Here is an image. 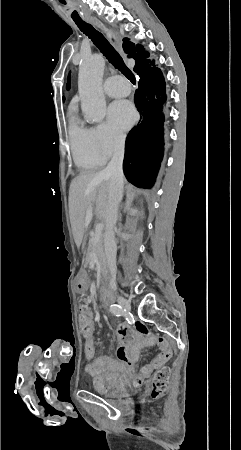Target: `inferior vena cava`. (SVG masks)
Wrapping results in <instances>:
<instances>
[{
  "label": "inferior vena cava",
  "instance_id": "inferior-vena-cava-1",
  "mask_svg": "<svg viewBox=\"0 0 241 450\" xmlns=\"http://www.w3.org/2000/svg\"><path fill=\"white\" fill-rule=\"evenodd\" d=\"M126 136H121L116 142L115 152L111 162L107 168L103 170L105 176L110 178L109 188V218L110 222L106 224L104 234V252L107 260V266L110 272V288H116V252L117 246L114 238V228L118 220V206L123 198L124 188V174H123V160Z\"/></svg>",
  "mask_w": 241,
  "mask_h": 450
}]
</instances>
